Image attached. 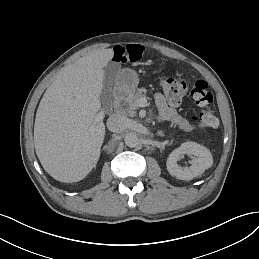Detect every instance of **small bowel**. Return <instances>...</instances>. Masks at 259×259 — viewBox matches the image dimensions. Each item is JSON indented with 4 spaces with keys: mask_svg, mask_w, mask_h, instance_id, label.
Listing matches in <instances>:
<instances>
[{
    "mask_svg": "<svg viewBox=\"0 0 259 259\" xmlns=\"http://www.w3.org/2000/svg\"><path fill=\"white\" fill-rule=\"evenodd\" d=\"M143 52L144 48L139 44L117 45L112 49V59L116 63L137 62L141 59ZM155 102L160 119L169 121L185 131L192 130V124L177 113L163 94L157 93Z\"/></svg>",
    "mask_w": 259,
    "mask_h": 259,
    "instance_id": "obj_1",
    "label": "small bowel"
}]
</instances>
